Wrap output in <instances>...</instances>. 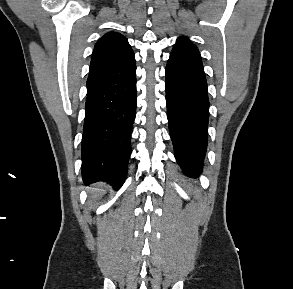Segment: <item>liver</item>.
Returning a JSON list of instances; mask_svg holds the SVG:
<instances>
[{"label":"liver","instance_id":"1","mask_svg":"<svg viewBox=\"0 0 293 289\" xmlns=\"http://www.w3.org/2000/svg\"><path fill=\"white\" fill-rule=\"evenodd\" d=\"M88 192H89L91 198L96 199V198H99L100 196H102L106 192V190L102 189V188L90 187V188H88Z\"/></svg>","mask_w":293,"mask_h":289}]
</instances>
